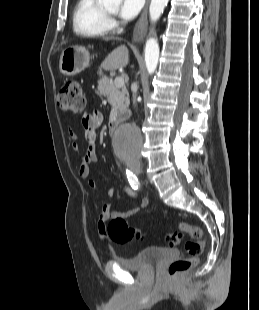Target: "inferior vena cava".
Wrapping results in <instances>:
<instances>
[{
    "mask_svg": "<svg viewBox=\"0 0 259 310\" xmlns=\"http://www.w3.org/2000/svg\"><path fill=\"white\" fill-rule=\"evenodd\" d=\"M132 98H133V105L135 107L136 106V98H137V92L136 91H133ZM135 162L139 163V159L135 160Z\"/></svg>",
    "mask_w": 259,
    "mask_h": 310,
    "instance_id": "obj_1",
    "label": "inferior vena cava"
}]
</instances>
